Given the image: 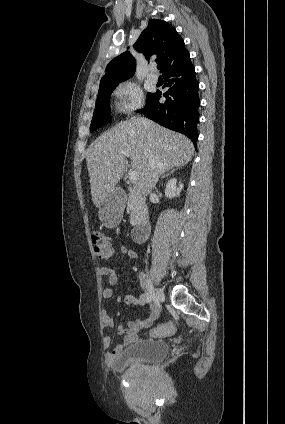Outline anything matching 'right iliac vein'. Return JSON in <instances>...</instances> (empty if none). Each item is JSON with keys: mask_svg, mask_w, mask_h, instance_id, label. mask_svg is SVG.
<instances>
[{"mask_svg": "<svg viewBox=\"0 0 285 424\" xmlns=\"http://www.w3.org/2000/svg\"><path fill=\"white\" fill-rule=\"evenodd\" d=\"M155 299H156V303H157L158 306H160V304L162 302H164V300H165V295H164L163 291L159 288H156V290H155ZM158 315H159V310L156 309L154 320L158 317Z\"/></svg>", "mask_w": 285, "mask_h": 424, "instance_id": "right-iliac-vein-1", "label": "right iliac vein"}]
</instances>
